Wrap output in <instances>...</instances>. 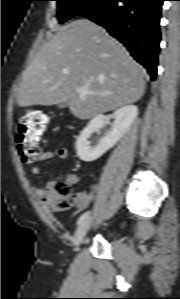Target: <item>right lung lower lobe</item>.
<instances>
[{
    "instance_id": "98d812e1",
    "label": "right lung lower lobe",
    "mask_w": 180,
    "mask_h": 299,
    "mask_svg": "<svg viewBox=\"0 0 180 299\" xmlns=\"http://www.w3.org/2000/svg\"><path fill=\"white\" fill-rule=\"evenodd\" d=\"M164 0H104L81 14L122 42L136 61L156 78L159 21Z\"/></svg>"
}]
</instances>
